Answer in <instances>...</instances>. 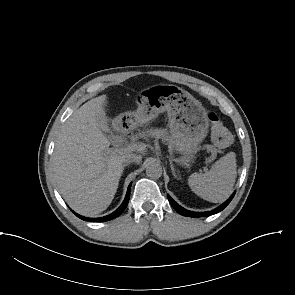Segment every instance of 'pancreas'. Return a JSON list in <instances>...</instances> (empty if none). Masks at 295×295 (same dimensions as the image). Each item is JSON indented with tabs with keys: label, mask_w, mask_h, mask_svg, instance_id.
I'll return each instance as SVG.
<instances>
[{
	"label": "pancreas",
	"mask_w": 295,
	"mask_h": 295,
	"mask_svg": "<svg viewBox=\"0 0 295 295\" xmlns=\"http://www.w3.org/2000/svg\"><path fill=\"white\" fill-rule=\"evenodd\" d=\"M149 135H151L152 137H155L157 139H162L164 141H166L168 143V147L170 148V150L172 149H176L177 150V145L175 140L173 139L172 136H170L167 132L166 129H151L149 131ZM206 148L208 151H210L212 153V156L215 157L217 154V149L212 146V145H206Z\"/></svg>",
	"instance_id": "pancreas-1"
}]
</instances>
